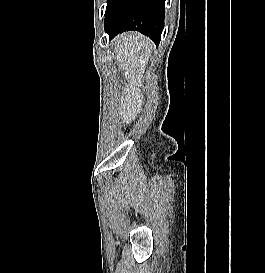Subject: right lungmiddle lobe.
Here are the masks:
<instances>
[{
	"mask_svg": "<svg viewBox=\"0 0 265 273\" xmlns=\"http://www.w3.org/2000/svg\"><path fill=\"white\" fill-rule=\"evenodd\" d=\"M114 1H115V0H108V1H107V7H106L105 15L108 14V12H109V10H110V8H111V6H112V4H113Z\"/></svg>",
	"mask_w": 265,
	"mask_h": 273,
	"instance_id": "right-lung-middle-lobe-1",
	"label": "right lung middle lobe"
}]
</instances>
